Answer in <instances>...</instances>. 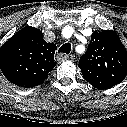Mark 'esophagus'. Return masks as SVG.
<instances>
[{"mask_svg": "<svg viewBox=\"0 0 127 127\" xmlns=\"http://www.w3.org/2000/svg\"><path fill=\"white\" fill-rule=\"evenodd\" d=\"M56 59L58 62H63V61H66L69 59V55L64 54V53H60L57 55Z\"/></svg>", "mask_w": 127, "mask_h": 127, "instance_id": "34e87169", "label": "esophagus"}]
</instances>
